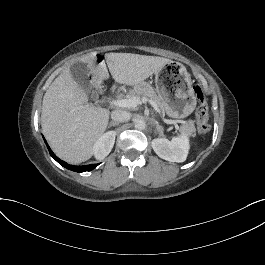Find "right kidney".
Listing matches in <instances>:
<instances>
[{
    "label": "right kidney",
    "mask_w": 265,
    "mask_h": 265,
    "mask_svg": "<svg viewBox=\"0 0 265 265\" xmlns=\"http://www.w3.org/2000/svg\"><path fill=\"white\" fill-rule=\"evenodd\" d=\"M115 136V131H108L95 141L92 150L97 160L104 159L111 152L115 143Z\"/></svg>",
    "instance_id": "obj_1"
}]
</instances>
